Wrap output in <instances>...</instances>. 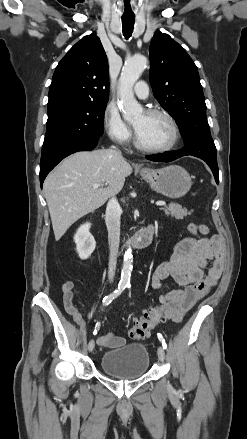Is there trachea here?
Returning a JSON list of instances; mask_svg holds the SVG:
<instances>
[{"instance_id":"trachea-1","label":"trachea","mask_w":247,"mask_h":439,"mask_svg":"<svg viewBox=\"0 0 247 439\" xmlns=\"http://www.w3.org/2000/svg\"><path fill=\"white\" fill-rule=\"evenodd\" d=\"M135 23L134 16L122 17L123 35L125 38H129L133 32Z\"/></svg>"}]
</instances>
